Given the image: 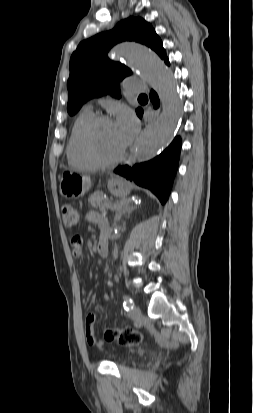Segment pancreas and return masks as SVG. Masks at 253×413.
<instances>
[{
	"mask_svg": "<svg viewBox=\"0 0 253 413\" xmlns=\"http://www.w3.org/2000/svg\"><path fill=\"white\" fill-rule=\"evenodd\" d=\"M89 202L93 207L99 208L102 212H106L108 209L107 206L112 204L111 200L107 197H103V193L100 191L93 193L89 198Z\"/></svg>",
	"mask_w": 253,
	"mask_h": 413,
	"instance_id": "obj_1",
	"label": "pancreas"
}]
</instances>
